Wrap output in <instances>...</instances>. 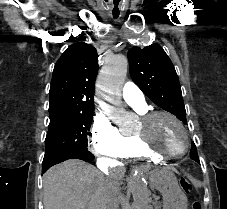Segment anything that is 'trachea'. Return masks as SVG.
Segmentation results:
<instances>
[{"label": "trachea", "mask_w": 227, "mask_h": 209, "mask_svg": "<svg viewBox=\"0 0 227 209\" xmlns=\"http://www.w3.org/2000/svg\"><path fill=\"white\" fill-rule=\"evenodd\" d=\"M113 17L114 18H118L119 17V14H113Z\"/></svg>", "instance_id": "1"}]
</instances>
